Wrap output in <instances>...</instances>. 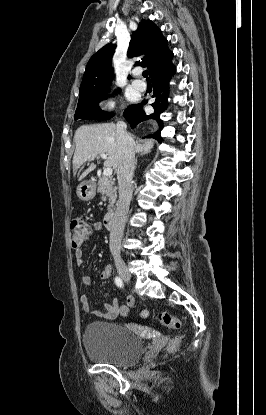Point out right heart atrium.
<instances>
[{"label":"right heart atrium","instance_id":"obj_1","mask_svg":"<svg viewBox=\"0 0 266 415\" xmlns=\"http://www.w3.org/2000/svg\"><path fill=\"white\" fill-rule=\"evenodd\" d=\"M104 106L107 108H112L114 106V101H107L104 103Z\"/></svg>","mask_w":266,"mask_h":415}]
</instances>
